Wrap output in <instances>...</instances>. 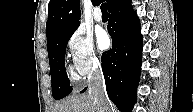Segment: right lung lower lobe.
<instances>
[{
    "label": "right lung lower lobe",
    "mask_w": 193,
    "mask_h": 112,
    "mask_svg": "<svg viewBox=\"0 0 193 112\" xmlns=\"http://www.w3.org/2000/svg\"><path fill=\"white\" fill-rule=\"evenodd\" d=\"M108 32L112 48L101 59L107 94L120 111L131 112L136 102L142 54L139 18L131 0H121L109 10Z\"/></svg>",
    "instance_id": "right-lung-lower-lobe-1"
}]
</instances>
